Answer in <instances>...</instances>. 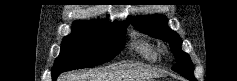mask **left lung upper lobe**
Returning <instances> with one entry per match:
<instances>
[{"mask_svg":"<svg viewBox=\"0 0 237 81\" xmlns=\"http://www.w3.org/2000/svg\"><path fill=\"white\" fill-rule=\"evenodd\" d=\"M136 29L170 43V48L176 57V64L172 69L180 75L196 81L193 64L189 55L181 50L182 40L179 35L167 26L164 15L141 16L132 19Z\"/></svg>","mask_w":237,"mask_h":81,"instance_id":"5c2ea615","label":"left lung upper lobe"}]
</instances>
